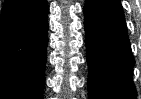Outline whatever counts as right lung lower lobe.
<instances>
[{
  "instance_id": "98d812e1",
  "label": "right lung lower lobe",
  "mask_w": 141,
  "mask_h": 99,
  "mask_svg": "<svg viewBox=\"0 0 141 99\" xmlns=\"http://www.w3.org/2000/svg\"><path fill=\"white\" fill-rule=\"evenodd\" d=\"M46 0H6L0 17V99H41L48 43Z\"/></svg>"
}]
</instances>
